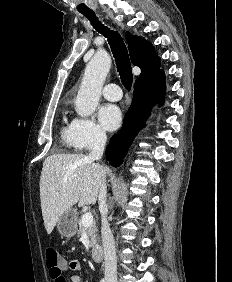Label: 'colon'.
<instances>
[{"label":"colon","mask_w":232,"mask_h":282,"mask_svg":"<svg viewBox=\"0 0 232 282\" xmlns=\"http://www.w3.org/2000/svg\"><path fill=\"white\" fill-rule=\"evenodd\" d=\"M46 266L51 276L58 277L63 271V259L58 251L52 247L45 250Z\"/></svg>","instance_id":"colon-1"}]
</instances>
